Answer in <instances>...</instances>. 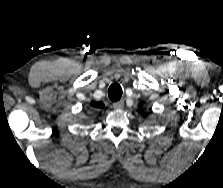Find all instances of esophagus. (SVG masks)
<instances>
[{"mask_svg": "<svg viewBox=\"0 0 223 188\" xmlns=\"http://www.w3.org/2000/svg\"><path fill=\"white\" fill-rule=\"evenodd\" d=\"M123 106H124V101L123 100H120V101H117V102L113 103V107L115 109H122Z\"/></svg>", "mask_w": 223, "mask_h": 188, "instance_id": "34e87169", "label": "esophagus"}]
</instances>
